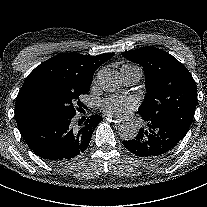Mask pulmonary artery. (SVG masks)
<instances>
[{
	"label": "pulmonary artery",
	"mask_w": 207,
	"mask_h": 207,
	"mask_svg": "<svg viewBox=\"0 0 207 207\" xmlns=\"http://www.w3.org/2000/svg\"><path fill=\"white\" fill-rule=\"evenodd\" d=\"M121 75L126 84L131 85L136 83L141 77V70L136 66H123Z\"/></svg>",
	"instance_id": "obj_1"
}]
</instances>
